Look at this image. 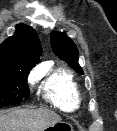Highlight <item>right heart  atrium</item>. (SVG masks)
Masks as SVG:
<instances>
[{
  "instance_id": "right-heart-atrium-1",
  "label": "right heart atrium",
  "mask_w": 117,
  "mask_h": 131,
  "mask_svg": "<svg viewBox=\"0 0 117 131\" xmlns=\"http://www.w3.org/2000/svg\"><path fill=\"white\" fill-rule=\"evenodd\" d=\"M37 79V75L35 73L31 74L29 77V82L34 83Z\"/></svg>"
}]
</instances>
